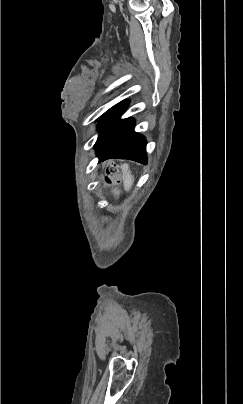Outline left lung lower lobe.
<instances>
[{
	"label": "left lung lower lobe",
	"mask_w": 243,
	"mask_h": 404,
	"mask_svg": "<svg viewBox=\"0 0 243 404\" xmlns=\"http://www.w3.org/2000/svg\"><path fill=\"white\" fill-rule=\"evenodd\" d=\"M127 106L128 102L122 101L101 116L98 122L100 134L94 145L99 162L121 158L147 163L146 140L134 132V120L119 119Z\"/></svg>",
	"instance_id": "1"
}]
</instances>
